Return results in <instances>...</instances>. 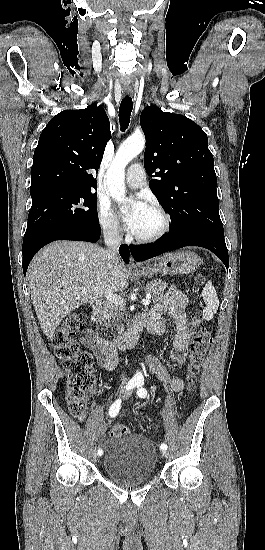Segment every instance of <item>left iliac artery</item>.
Segmentation results:
<instances>
[{
	"mask_svg": "<svg viewBox=\"0 0 265 550\" xmlns=\"http://www.w3.org/2000/svg\"><path fill=\"white\" fill-rule=\"evenodd\" d=\"M143 385H144V380L143 379H138L137 381V395L140 397V398H145L147 396V390L145 388H143ZM160 449L161 450H166L167 449V445L166 444H161L160 445Z\"/></svg>",
	"mask_w": 265,
	"mask_h": 550,
	"instance_id": "obj_1",
	"label": "left iliac artery"
}]
</instances>
